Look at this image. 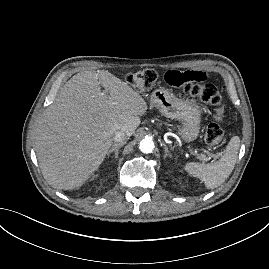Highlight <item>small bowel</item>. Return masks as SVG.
I'll use <instances>...</instances> for the list:
<instances>
[{
    "label": "small bowel",
    "instance_id": "obj_1",
    "mask_svg": "<svg viewBox=\"0 0 269 269\" xmlns=\"http://www.w3.org/2000/svg\"><path fill=\"white\" fill-rule=\"evenodd\" d=\"M188 81L200 83L204 86L207 84H212V79L205 71H193L192 69L164 72L161 78V83L164 86H171L174 83L177 86H184Z\"/></svg>",
    "mask_w": 269,
    "mask_h": 269
}]
</instances>
